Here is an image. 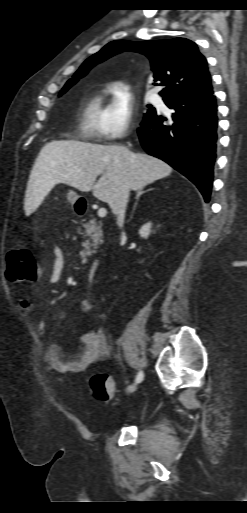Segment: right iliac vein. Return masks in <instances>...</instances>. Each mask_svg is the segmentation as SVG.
Segmentation results:
<instances>
[{
	"instance_id": "obj_1",
	"label": "right iliac vein",
	"mask_w": 247,
	"mask_h": 513,
	"mask_svg": "<svg viewBox=\"0 0 247 513\" xmlns=\"http://www.w3.org/2000/svg\"><path fill=\"white\" fill-rule=\"evenodd\" d=\"M135 390H136V385H132V386L127 388L126 394H128V395L132 394Z\"/></svg>"
}]
</instances>
